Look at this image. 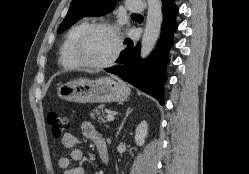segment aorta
I'll return each instance as SVG.
<instances>
[{"label":"aorta","mask_w":249,"mask_h":174,"mask_svg":"<svg viewBox=\"0 0 249 174\" xmlns=\"http://www.w3.org/2000/svg\"><path fill=\"white\" fill-rule=\"evenodd\" d=\"M147 5L148 12L140 49L142 58L150 54L157 42L163 20L161 0H147Z\"/></svg>","instance_id":"1"}]
</instances>
